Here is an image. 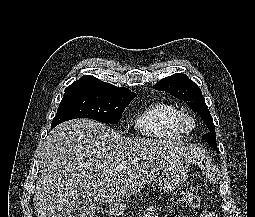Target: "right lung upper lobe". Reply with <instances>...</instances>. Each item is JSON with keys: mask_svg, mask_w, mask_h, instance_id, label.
<instances>
[{"mask_svg": "<svg viewBox=\"0 0 255 217\" xmlns=\"http://www.w3.org/2000/svg\"><path fill=\"white\" fill-rule=\"evenodd\" d=\"M65 91H91L111 94L136 95L127 88L116 87L93 76H83L81 79L68 86Z\"/></svg>", "mask_w": 255, "mask_h": 217, "instance_id": "right-lung-upper-lobe-1", "label": "right lung upper lobe"}]
</instances>
